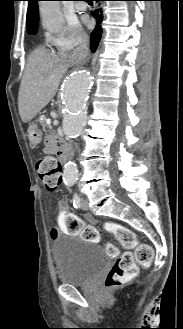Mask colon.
I'll return each mask as SVG.
<instances>
[{
    "mask_svg": "<svg viewBox=\"0 0 183 329\" xmlns=\"http://www.w3.org/2000/svg\"><path fill=\"white\" fill-rule=\"evenodd\" d=\"M37 172L44 186L49 191H58L62 185L63 171L60 162L51 156H45L37 162ZM62 220H80L62 219ZM107 230L112 233L117 241L127 249H134V252H125L118 256L119 250L114 244H107L106 251L110 256L117 259L108 272L105 279L107 289L117 288L131 279L138 272L137 264L148 265L152 260V250L146 244H139L135 234L128 228L116 223L107 224Z\"/></svg>",
    "mask_w": 183,
    "mask_h": 329,
    "instance_id": "colon-1",
    "label": "colon"
}]
</instances>
